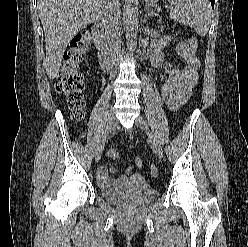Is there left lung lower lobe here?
Wrapping results in <instances>:
<instances>
[{
  "instance_id": "0a47b994",
  "label": "left lung lower lobe",
  "mask_w": 248,
  "mask_h": 247,
  "mask_svg": "<svg viewBox=\"0 0 248 247\" xmlns=\"http://www.w3.org/2000/svg\"><path fill=\"white\" fill-rule=\"evenodd\" d=\"M211 2L212 8H214V0H209Z\"/></svg>"
}]
</instances>
